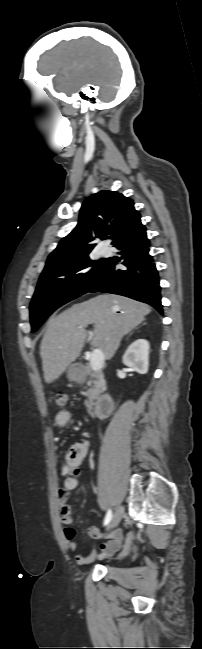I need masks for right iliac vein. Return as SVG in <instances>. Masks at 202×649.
Here are the masks:
<instances>
[{
  "label": "right iliac vein",
  "mask_w": 202,
  "mask_h": 649,
  "mask_svg": "<svg viewBox=\"0 0 202 649\" xmlns=\"http://www.w3.org/2000/svg\"><path fill=\"white\" fill-rule=\"evenodd\" d=\"M122 515H123V508L119 506L113 515V519L109 525V529L115 528L119 525Z\"/></svg>",
  "instance_id": "obj_1"
}]
</instances>
